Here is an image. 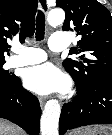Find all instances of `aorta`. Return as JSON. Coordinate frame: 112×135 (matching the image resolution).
I'll use <instances>...</instances> for the list:
<instances>
[{"instance_id":"aorta-1","label":"aorta","mask_w":112,"mask_h":135,"mask_svg":"<svg viewBox=\"0 0 112 135\" xmlns=\"http://www.w3.org/2000/svg\"><path fill=\"white\" fill-rule=\"evenodd\" d=\"M65 13L62 9H54L48 15V23L51 26H58L64 22ZM61 107L56 99L49 100L43 110L40 131L41 135H58V125Z\"/></svg>"}]
</instances>
